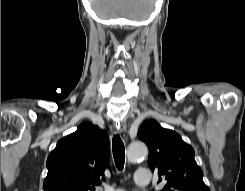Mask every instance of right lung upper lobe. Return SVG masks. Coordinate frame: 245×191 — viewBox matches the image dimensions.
<instances>
[{"mask_svg": "<svg viewBox=\"0 0 245 191\" xmlns=\"http://www.w3.org/2000/svg\"><path fill=\"white\" fill-rule=\"evenodd\" d=\"M109 163V139L105 131L92 123L58 141L47 159L44 191L95 190L104 180Z\"/></svg>", "mask_w": 245, "mask_h": 191, "instance_id": "cb5924a9", "label": "right lung upper lobe"}]
</instances>
